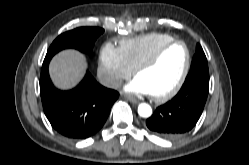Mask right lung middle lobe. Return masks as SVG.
<instances>
[{"label":"right lung middle lobe","mask_w":249,"mask_h":165,"mask_svg":"<svg viewBox=\"0 0 249 165\" xmlns=\"http://www.w3.org/2000/svg\"><path fill=\"white\" fill-rule=\"evenodd\" d=\"M104 30L97 27H80L59 35L49 47L46 57H52L66 48H75L83 53L91 54L94 43Z\"/></svg>","instance_id":"1"}]
</instances>
